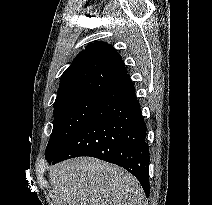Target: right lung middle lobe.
Masks as SVG:
<instances>
[{
    "label": "right lung middle lobe",
    "instance_id": "right-lung-middle-lobe-1",
    "mask_svg": "<svg viewBox=\"0 0 212 205\" xmlns=\"http://www.w3.org/2000/svg\"><path fill=\"white\" fill-rule=\"evenodd\" d=\"M102 94L66 101L54 107L53 131L46 147V159H53L71 140L98 105Z\"/></svg>",
    "mask_w": 212,
    "mask_h": 205
}]
</instances>
